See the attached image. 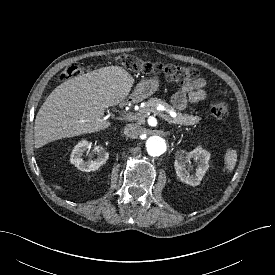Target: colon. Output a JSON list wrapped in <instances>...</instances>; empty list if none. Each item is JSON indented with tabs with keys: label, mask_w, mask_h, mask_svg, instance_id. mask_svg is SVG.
Wrapping results in <instances>:
<instances>
[{
	"label": "colon",
	"mask_w": 275,
	"mask_h": 275,
	"mask_svg": "<svg viewBox=\"0 0 275 275\" xmlns=\"http://www.w3.org/2000/svg\"><path fill=\"white\" fill-rule=\"evenodd\" d=\"M125 68L140 74L163 73L169 82L186 84L195 81L199 77L198 69L191 66L174 64L149 63L132 54H122L115 58ZM82 68L78 65L67 67L60 75L61 80H68L79 76ZM209 112L219 120L226 119L229 115V107L224 102H215L210 105Z\"/></svg>",
	"instance_id": "colon-1"
}]
</instances>
